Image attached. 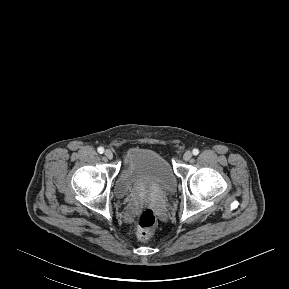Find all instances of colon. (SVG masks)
I'll list each match as a JSON object with an SVG mask.
<instances>
[{"label":"colon","mask_w":289,"mask_h":289,"mask_svg":"<svg viewBox=\"0 0 289 289\" xmlns=\"http://www.w3.org/2000/svg\"><path fill=\"white\" fill-rule=\"evenodd\" d=\"M156 224V213L152 208L141 210L136 219V227L139 237L142 240H148L154 235V226Z\"/></svg>","instance_id":"colon-1"}]
</instances>
